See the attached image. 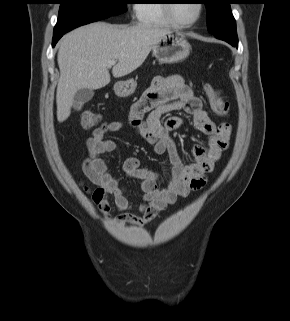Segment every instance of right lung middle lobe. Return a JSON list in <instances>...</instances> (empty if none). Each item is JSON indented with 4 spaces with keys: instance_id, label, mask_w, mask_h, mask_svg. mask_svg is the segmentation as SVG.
I'll use <instances>...</instances> for the list:
<instances>
[{
    "instance_id": "obj_1",
    "label": "right lung middle lobe",
    "mask_w": 290,
    "mask_h": 321,
    "mask_svg": "<svg viewBox=\"0 0 290 321\" xmlns=\"http://www.w3.org/2000/svg\"><path fill=\"white\" fill-rule=\"evenodd\" d=\"M126 0H59L60 9L54 33L118 15L127 10Z\"/></svg>"
}]
</instances>
